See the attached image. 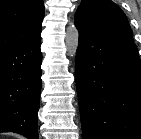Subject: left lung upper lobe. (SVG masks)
I'll use <instances>...</instances> for the list:
<instances>
[{
  "label": "left lung upper lobe",
  "instance_id": "5c2ea615",
  "mask_svg": "<svg viewBox=\"0 0 141 139\" xmlns=\"http://www.w3.org/2000/svg\"><path fill=\"white\" fill-rule=\"evenodd\" d=\"M75 24L105 37L133 42L124 12L111 0H82Z\"/></svg>",
  "mask_w": 141,
  "mask_h": 139
}]
</instances>
